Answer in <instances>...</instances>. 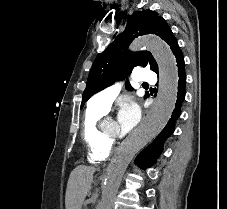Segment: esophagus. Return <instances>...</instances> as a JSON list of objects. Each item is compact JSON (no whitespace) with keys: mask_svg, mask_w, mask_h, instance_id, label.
Listing matches in <instances>:
<instances>
[{"mask_svg":"<svg viewBox=\"0 0 227 209\" xmlns=\"http://www.w3.org/2000/svg\"><path fill=\"white\" fill-rule=\"evenodd\" d=\"M152 115H153V108H146V112H144V118L141 121H150ZM98 176L99 177H104L105 173L104 172H99Z\"/></svg>","mask_w":227,"mask_h":209,"instance_id":"1","label":"esophagus"}]
</instances>
